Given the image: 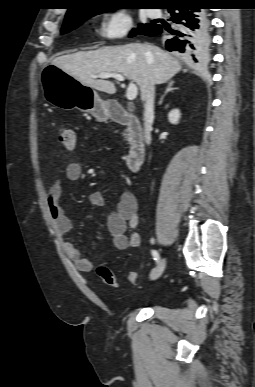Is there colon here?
<instances>
[{
  "label": "colon",
  "mask_w": 255,
  "mask_h": 387,
  "mask_svg": "<svg viewBox=\"0 0 255 387\" xmlns=\"http://www.w3.org/2000/svg\"><path fill=\"white\" fill-rule=\"evenodd\" d=\"M59 143L62 148L68 152L72 151L77 142V136L74 130L68 127H62L58 133ZM97 274L100 281L108 286L116 285V278L114 273L105 265H101L97 268ZM137 273L129 272L127 274V281L130 284H135L137 282Z\"/></svg>",
  "instance_id": "obj_1"
}]
</instances>
